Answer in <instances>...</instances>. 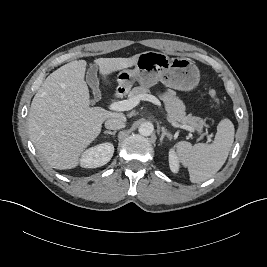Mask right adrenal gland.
I'll return each mask as SVG.
<instances>
[{"mask_svg": "<svg viewBox=\"0 0 267 267\" xmlns=\"http://www.w3.org/2000/svg\"><path fill=\"white\" fill-rule=\"evenodd\" d=\"M104 134H110V135L115 136L116 131H104Z\"/></svg>", "mask_w": 267, "mask_h": 267, "instance_id": "2a0ac1e0", "label": "right adrenal gland"}]
</instances>
